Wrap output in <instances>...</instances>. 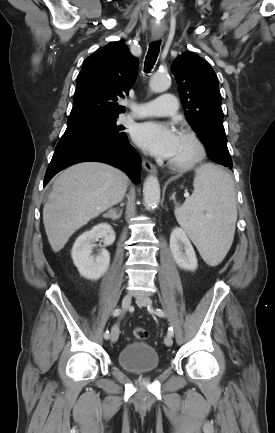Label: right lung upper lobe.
Listing matches in <instances>:
<instances>
[{"label":"right lung upper lobe","instance_id":"right-lung-upper-lobe-1","mask_svg":"<svg viewBox=\"0 0 275 433\" xmlns=\"http://www.w3.org/2000/svg\"><path fill=\"white\" fill-rule=\"evenodd\" d=\"M138 60L121 42L99 48L84 63L77 77L74 105L69 118L86 115L118 116L125 111L116 101L128 94Z\"/></svg>","mask_w":275,"mask_h":433}]
</instances>
